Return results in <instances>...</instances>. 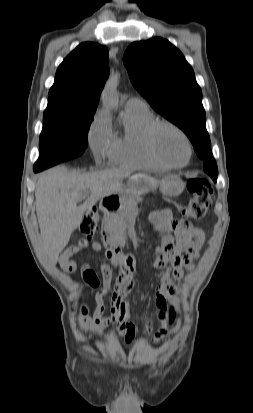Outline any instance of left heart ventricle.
<instances>
[{
  "label": "left heart ventricle",
  "instance_id": "obj_1",
  "mask_svg": "<svg viewBox=\"0 0 253 413\" xmlns=\"http://www.w3.org/2000/svg\"><path fill=\"white\" fill-rule=\"evenodd\" d=\"M158 153L172 164H183L188 156L184 139L168 127L160 128L155 136Z\"/></svg>",
  "mask_w": 253,
  "mask_h": 413
}]
</instances>
